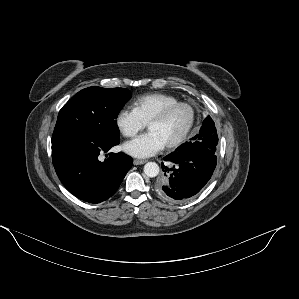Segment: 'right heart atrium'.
<instances>
[{
	"instance_id": "right-heart-atrium-1",
	"label": "right heart atrium",
	"mask_w": 299,
	"mask_h": 299,
	"mask_svg": "<svg viewBox=\"0 0 299 299\" xmlns=\"http://www.w3.org/2000/svg\"><path fill=\"white\" fill-rule=\"evenodd\" d=\"M114 123L117 131L124 137L131 138L145 128V123L133 109L121 108L115 115Z\"/></svg>"
}]
</instances>
